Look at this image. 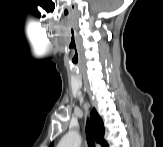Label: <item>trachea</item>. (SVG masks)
<instances>
[{
  "mask_svg": "<svg viewBox=\"0 0 163 147\" xmlns=\"http://www.w3.org/2000/svg\"><path fill=\"white\" fill-rule=\"evenodd\" d=\"M86 139L89 147H95V141H94L90 121L88 119L86 122Z\"/></svg>",
  "mask_w": 163,
  "mask_h": 147,
  "instance_id": "3493384b",
  "label": "trachea"
}]
</instances>
